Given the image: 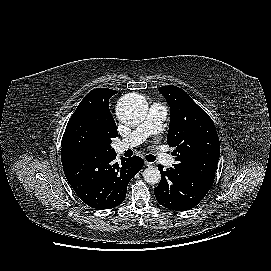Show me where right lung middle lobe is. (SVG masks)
<instances>
[{
	"mask_svg": "<svg viewBox=\"0 0 271 271\" xmlns=\"http://www.w3.org/2000/svg\"><path fill=\"white\" fill-rule=\"evenodd\" d=\"M115 93L106 94L91 110L73 113L62 137L61 152L115 153L110 144L118 132L109 111V99Z\"/></svg>",
	"mask_w": 271,
	"mask_h": 271,
	"instance_id": "dd1d6c3e",
	"label": "right lung middle lobe"
}]
</instances>
